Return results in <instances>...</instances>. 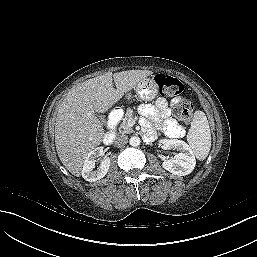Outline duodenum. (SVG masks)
<instances>
[{
	"instance_id": "duodenum-1",
	"label": "duodenum",
	"mask_w": 257,
	"mask_h": 257,
	"mask_svg": "<svg viewBox=\"0 0 257 257\" xmlns=\"http://www.w3.org/2000/svg\"><path fill=\"white\" fill-rule=\"evenodd\" d=\"M118 120H119V114L116 111L109 118L108 131L104 136V143L107 145L113 143L116 138V126H117Z\"/></svg>"
}]
</instances>
